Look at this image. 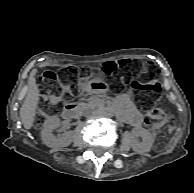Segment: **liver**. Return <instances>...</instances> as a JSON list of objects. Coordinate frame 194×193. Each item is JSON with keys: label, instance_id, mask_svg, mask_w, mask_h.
I'll return each instance as SVG.
<instances>
[{"label": "liver", "instance_id": "liver-1", "mask_svg": "<svg viewBox=\"0 0 194 193\" xmlns=\"http://www.w3.org/2000/svg\"><path fill=\"white\" fill-rule=\"evenodd\" d=\"M46 64L42 63L39 67H44ZM37 69H33L28 79V92L26 98L20 108V117L25 129H30L33 126L36 109L39 103L40 92L36 84L35 75Z\"/></svg>", "mask_w": 194, "mask_h": 193}]
</instances>
